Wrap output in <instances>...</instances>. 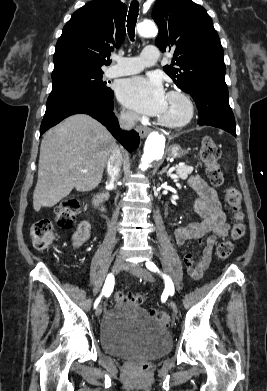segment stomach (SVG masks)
<instances>
[{"label":"stomach","mask_w":267,"mask_h":391,"mask_svg":"<svg viewBox=\"0 0 267 391\" xmlns=\"http://www.w3.org/2000/svg\"><path fill=\"white\" fill-rule=\"evenodd\" d=\"M184 155V150L179 145H173L169 148V156L179 158Z\"/></svg>","instance_id":"0dacf381"}]
</instances>
